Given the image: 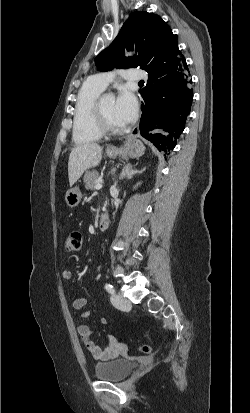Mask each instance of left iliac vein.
I'll return each instance as SVG.
<instances>
[{
    "label": "left iliac vein",
    "instance_id": "obj_1",
    "mask_svg": "<svg viewBox=\"0 0 250 413\" xmlns=\"http://www.w3.org/2000/svg\"><path fill=\"white\" fill-rule=\"evenodd\" d=\"M111 302L116 308L121 309V310H126L131 307L130 301L127 298H124L118 294L112 295Z\"/></svg>",
    "mask_w": 250,
    "mask_h": 413
}]
</instances>
